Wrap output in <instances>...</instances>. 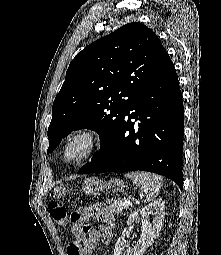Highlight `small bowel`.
<instances>
[{
	"mask_svg": "<svg viewBox=\"0 0 221 255\" xmlns=\"http://www.w3.org/2000/svg\"><path fill=\"white\" fill-rule=\"evenodd\" d=\"M92 215L101 223L96 227L86 226L84 231L73 229L74 238L68 244L67 255H93V251L100 241L107 246L111 242L114 228V217L103 204H97L92 209Z\"/></svg>",
	"mask_w": 221,
	"mask_h": 255,
	"instance_id": "obj_1",
	"label": "small bowel"
}]
</instances>
